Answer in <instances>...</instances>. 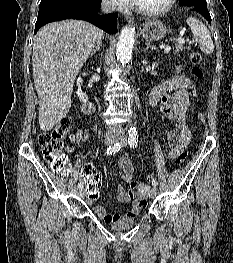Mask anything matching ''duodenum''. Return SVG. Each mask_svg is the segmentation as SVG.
Segmentation results:
<instances>
[{"label": "duodenum", "mask_w": 233, "mask_h": 263, "mask_svg": "<svg viewBox=\"0 0 233 263\" xmlns=\"http://www.w3.org/2000/svg\"><path fill=\"white\" fill-rule=\"evenodd\" d=\"M82 110L86 114H92L95 111V106L91 101L87 100L82 103Z\"/></svg>", "instance_id": "1"}]
</instances>
